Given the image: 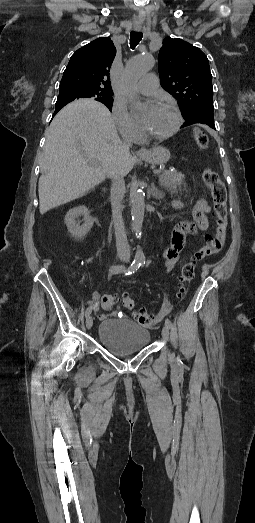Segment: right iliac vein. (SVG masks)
I'll return each mask as SVG.
<instances>
[{"label": "right iliac vein", "instance_id": "63e3f726", "mask_svg": "<svg viewBox=\"0 0 255 523\" xmlns=\"http://www.w3.org/2000/svg\"><path fill=\"white\" fill-rule=\"evenodd\" d=\"M92 325H93V318H92V316L89 315L86 318V327L88 329H91Z\"/></svg>", "mask_w": 255, "mask_h": 523}]
</instances>
